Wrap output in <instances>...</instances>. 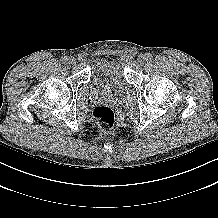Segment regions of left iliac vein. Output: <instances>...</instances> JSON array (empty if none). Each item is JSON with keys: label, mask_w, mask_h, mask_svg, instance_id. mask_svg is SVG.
I'll list each match as a JSON object with an SVG mask.
<instances>
[{"label": "left iliac vein", "mask_w": 218, "mask_h": 218, "mask_svg": "<svg viewBox=\"0 0 218 218\" xmlns=\"http://www.w3.org/2000/svg\"><path fill=\"white\" fill-rule=\"evenodd\" d=\"M145 60H146V56H145V55L140 54V55L138 56V62H139V63L142 64Z\"/></svg>", "instance_id": "obj_1"}]
</instances>
